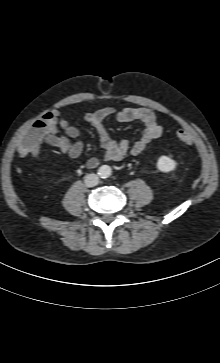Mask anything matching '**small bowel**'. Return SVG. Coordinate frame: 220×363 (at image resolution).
<instances>
[{
    "instance_id": "1",
    "label": "small bowel",
    "mask_w": 220,
    "mask_h": 363,
    "mask_svg": "<svg viewBox=\"0 0 220 363\" xmlns=\"http://www.w3.org/2000/svg\"><path fill=\"white\" fill-rule=\"evenodd\" d=\"M112 115L119 122H141L144 125V130L140 139L133 144L128 140L114 141L103 124L104 120ZM50 116L42 141L38 144L31 143L28 139L30 130L27 131L18 147V154L20 156L31 155L35 158L39 154V145L45 143L57 148L70 158H78L83 151V144L78 139L79 129L71 125L68 120L60 118L59 113L56 111L51 113ZM84 120L95 129L104 151L102 158L93 157L87 160L86 165L89 168L97 167L101 160L120 161L127 154L139 155L152 140L159 138L163 133V128L158 123L155 113L147 108L127 107L117 110L109 106L85 113Z\"/></svg>"
}]
</instances>
